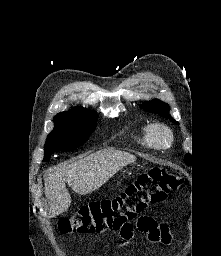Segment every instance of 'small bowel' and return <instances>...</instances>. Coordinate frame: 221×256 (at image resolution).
<instances>
[{
	"label": "small bowel",
	"instance_id": "c3829d8e",
	"mask_svg": "<svg viewBox=\"0 0 221 256\" xmlns=\"http://www.w3.org/2000/svg\"><path fill=\"white\" fill-rule=\"evenodd\" d=\"M137 228L146 234L147 239L152 243L161 242L163 244H169L171 241L168 225L166 223H159L153 217L141 216L137 221ZM120 234L123 241H129L133 236L132 225L121 230Z\"/></svg>",
	"mask_w": 221,
	"mask_h": 256
}]
</instances>
